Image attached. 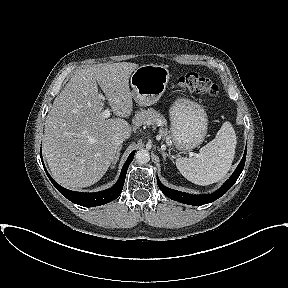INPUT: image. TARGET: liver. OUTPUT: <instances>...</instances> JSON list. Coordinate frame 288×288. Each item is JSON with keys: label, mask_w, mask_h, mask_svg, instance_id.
Returning <instances> with one entry per match:
<instances>
[{"label": "liver", "mask_w": 288, "mask_h": 288, "mask_svg": "<svg viewBox=\"0 0 288 288\" xmlns=\"http://www.w3.org/2000/svg\"><path fill=\"white\" fill-rule=\"evenodd\" d=\"M138 64L121 62L79 70L53 102L45 120L43 154L53 178L67 188L98 182L115 160L116 135L128 139L132 129L121 118L104 119L98 85L116 116L133 108L129 78Z\"/></svg>", "instance_id": "obj_1"}]
</instances>
